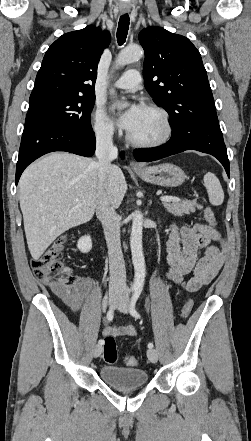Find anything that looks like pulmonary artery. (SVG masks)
Here are the masks:
<instances>
[{"label": "pulmonary artery", "mask_w": 251, "mask_h": 441, "mask_svg": "<svg viewBox=\"0 0 251 441\" xmlns=\"http://www.w3.org/2000/svg\"><path fill=\"white\" fill-rule=\"evenodd\" d=\"M140 82V73L137 70H128L115 82V86L119 89L132 90L135 89Z\"/></svg>", "instance_id": "1"}]
</instances>
